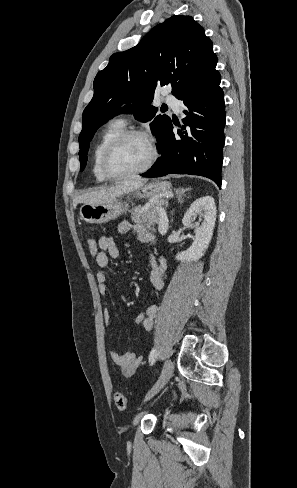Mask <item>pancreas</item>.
<instances>
[{
	"label": "pancreas",
	"mask_w": 297,
	"mask_h": 488,
	"mask_svg": "<svg viewBox=\"0 0 297 488\" xmlns=\"http://www.w3.org/2000/svg\"><path fill=\"white\" fill-rule=\"evenodd\" d=\"M160 206L159 203L149 204L148 207H136L131 211V220L134 223L145 224L146 226H153L158 223L159 217L156 208Z\"/></svg>",
	"instance_id": "cf45deb5"
}]
</instances>
